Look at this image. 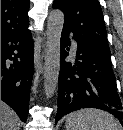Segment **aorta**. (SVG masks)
Here are the masks:
<instances>
[{
    "mask_svg": "<svg viewBox=\"0 0 123 130\" xmlns=\"http://www.w3.org/2000/svg\"><path fill=\"white\" fill-rule=\"evenodd\" d=\"M64 24L61 10H53L47 21V41L44 62V92L47 99L51 98L57 88L60 70V40Z\"/></svg>",
    "mask_w": 123,
    "mask_h": 130,
    "instance_id": "aorta-1",
    "label": "aorta"
}]
</instances>
